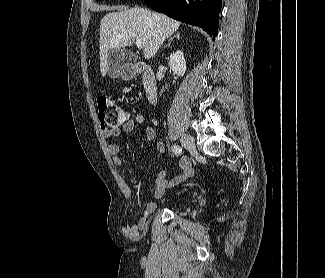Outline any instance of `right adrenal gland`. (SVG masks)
I'll use <instances>...</instances> for the list:
<instances>
[{
  "label": "right adrenal gland",
  "mask_w": 325,
  "mask_h": 278,
  "mask_svg": "<svg viewBox=\"0 0 325 278\" xmlns=\"http://www.w3.org/2000/svg\"><path fill=\"white\" fill-rule=\"evenodd\" d=\"M174 38L180 39V38H181V37H180V33L177 32L176 35H175L174 37H171V38L169 39L168 45H170L171 41H172Z\"/></svg>",
  "instance_id": "obj_1"
}]
</instances>
